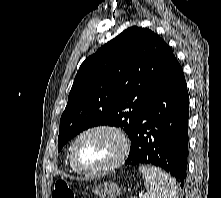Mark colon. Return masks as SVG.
<instances>
[{
    "label": "colon",
    "mask_w": 221,
    "mask_h": 198,
    "mask_svg": "<svg viewBox=\"0 0 221 198\" xmlns=\"http://www.w3.org/2000/svg\"><path fill=\"white\" fill-rule=\"evenodd\" d=\"M52 198H75V194L64 180H58L55 183Z\"/></svg>",
    "instance_id": "1"
}]
</instances>
